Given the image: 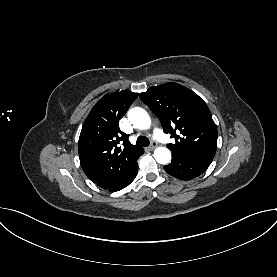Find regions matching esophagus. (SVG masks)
Masks as SVG:
<instances>
[{
    "label": "esophagus",
    "instance_id": "34e87169",
    "mask_svg": "<svg viewBox=\"0 0 277 277\" xmlns=\"http://www.w3.org/2000/svg\"><path fill=\"white\" fill-rule=\"evenodd\" d=\"M157 147L156 142H152V144L148 147L149 150H154Z\"/></svg>",
    "mask_w": 277,
    "mask_h": 277
}]
</instances>
